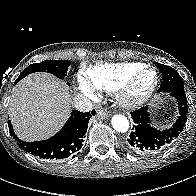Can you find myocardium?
<instances>
[{"label":"myocardium","mask_w":196,"mask_h":196,"mask_svg":"<svg viewBox=\"0 0 196 196\" xmlns=\"http://www.w3.org/2000/svg\"><path fill=\"white\" fill-rule=\"evenodd\" d=\"M152 71L155 74V79L152 85L142 94L135 95L133 88L140 77L146 71ZM160 82V74L158 70L151 65H143L138 70L133 72L116 90V98L118 102L125 108H137L145 104L154 94Z\"/></svg>","instance_id":"f54148a6"}]
</instances>
